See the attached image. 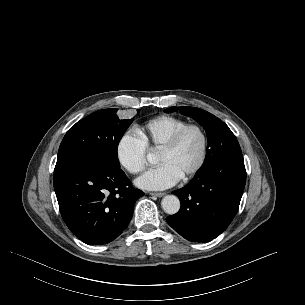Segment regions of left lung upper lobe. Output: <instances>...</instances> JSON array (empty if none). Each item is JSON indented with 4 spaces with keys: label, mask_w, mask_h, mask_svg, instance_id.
<instances>
[{
    "label": "left lung upper lobe",
    "mask_w": 305,
    "mask_h": 305,
    "mask_svg": "<svg viewBox=\"0 0 305 305\" xmlns=\"http://www.w3.org/2000/svg\"><path fill=\"white\" fill-rule=\"evenodd\" d=\"M177 107H171L165 112H174ZM179 111L196 120L206 130L209 150L201 167L206 169L217 161L233 153H242L236 136L229 127L211 113L195 107L181 106Z\"/></svg>",
    "instance_id": "obj_1"
}]
</instances>
